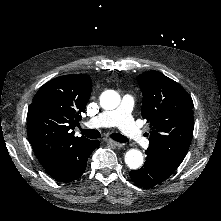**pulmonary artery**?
Masks as SVG:
<instances>
[{"instance_id":"pulmonary-artery-1","label":"pulmonary artery","mask_w":221,"mask_h":221,"mask_svg":"<svg viewBox=\"0 0 221 221\" xmlns=\"http://www.w3.org/2000/svg\"><path fill=\"white\" fill-rule=\"evenodd\" d=\"M120 109L113 107L105 111L93 112L88 119L92 128L111 127L119 124L122 134L129 139L138 135L139 129L131 119V110L136 107L137 102L133 96L127 95L121 99Z\"/></svg>"}]
</instances>
